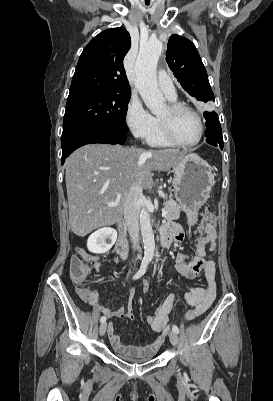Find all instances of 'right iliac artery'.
Listing matches in <instances>:
<instances>
[{
	"label": "right iliac artery",
	"mask_w": 273,
	"mask_h": 401,
	"mask_svg": "<svg viewBox=\"0 0 273 401\" xmlns=\"http://www.w3.org/2000/svg\"><path fill=\"white\" fill-rule=\"evenodd\" d=\"M149 261H150L149 258H144V259L142 260L141 267H140L139 271L134 275L133 279H138V278H140L142 275H144ZM100 321H101L102 323L105 322V321H106V317H105V316L101 317Z\"/></svg>",
	"instance_id": "82829eb1"
}]
</instances>
